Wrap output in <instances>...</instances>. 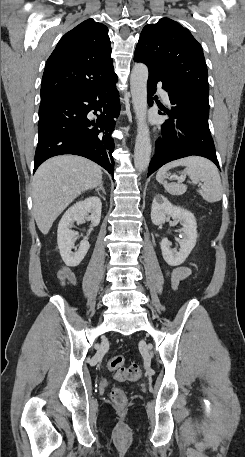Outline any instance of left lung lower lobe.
I'll return each mask as SVG.
<instances>
[{"mask_svg":"<svg viewBox=\"0 0 245 457\" xmlns=\"http://www.w3.org/2000/svg\"><path fill=\"white\" fill-rule=\"evenodd\" d=\"M136 62H143L135 59ZM144 63V62H143ZM147 65V64H146ZM148 66V65H147ZM147 82L148 103L152 106V96L156 92V84L162 82V88L168 92L170 109L159 105L160 115L169 117L162 126V138L156 141V155L152 158L148 176L164 164L187 156H202L214 162L220 169L214 142L209 130V108L189 104L176 97V87L167 83L155 68L148 66Z\"/></svg>","mask_w":245,"mask_h":457,"instance_id":"1","label":"left lung lower lobe"}]
</instances>
